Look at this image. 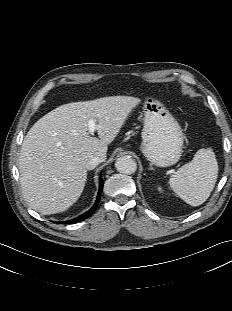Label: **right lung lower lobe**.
Listing matches in <instances>:
<instances>
[{"instance_id":"1","label":"right lung lower lobe","mask_w":232,"mask_h":311,"mask_svg":"<svg viewBox=\"0 0 232 311\" xmlns=\"http://www.w3.org/2000/svg\"><path fill=\"white\" fill-rule=\"evenodd\" d=\"M99 180H100L99 181V192H98L97 200H96L94 206L90 210L85 212L84 214L78 216L77 218L69 220V221L59 222L60 224H73V223L80 222V221L90 217L95 212V210H96V208L98 206V203L100 201L101 193H102V190H103V179H102L101 176H100Z\"/></svg>"}]
</instances>
